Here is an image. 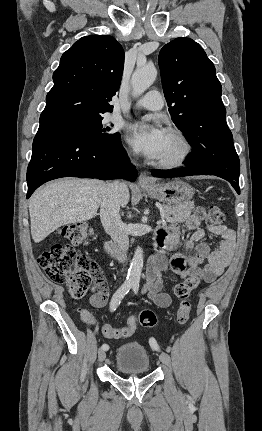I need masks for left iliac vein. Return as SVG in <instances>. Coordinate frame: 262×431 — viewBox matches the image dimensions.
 <instances>
[{
	"label": "left iliac vein",
	"mask_w": 262,
	"mask_h": 431,
	"mask_svg": "<svg viewBox=\"0 0 262 431\" xmlns=\"http://www.w3.org/2000/svg\"><path fill=\"white\" fill-rule=\"evenodd\" d=\"M160 361L165 364L166 366L170 367L171 366V361H170V357L167 353L162 352L160 354Z\"/></svg>",
	"instance_id": "1"
}]
</instances>
